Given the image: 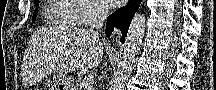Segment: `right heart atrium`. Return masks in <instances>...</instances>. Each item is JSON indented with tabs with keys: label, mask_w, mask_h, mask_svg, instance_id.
<instances>
[{
	"label": "right heart atrium",
	"mask_w": 216,
	"mask_h": 90,
	"mask_svg": "<svg viewBox=\"0 0 216 90\" xmlns=\"http://www.w3.org/2000/svg\"><path fill=\"white\" fill-rule=\"evenodd\" d=\"M70 3H76L77 6H85L80 15V20H98L103 8L98 4H94L93 0H69Z\"/></svg>",
	"instance_id": "1"
}]
</instances>
